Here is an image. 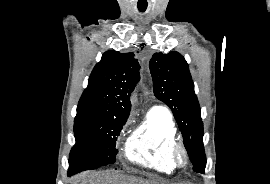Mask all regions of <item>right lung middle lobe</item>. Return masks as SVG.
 <instances>
[{
  "instance_id": "obj_1",
  "label": "right lung middle lobe",
  "mask_w": 270,
  "mask_h": 184,
  "mask_svg": "<svg viewBox=\"0 0 270 184\" xmlns=\"http://www.w3.org/2000/svg\"><path fill=\"white\" fill-rule=\"evenodd\" d=\"M125 122L98 116L91 108L78 105L74 121L76 144L70 152L68 174L114 163L118 152L115 143Z\"/></svg>"
}]
</instances>
